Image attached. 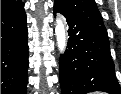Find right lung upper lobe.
I'll return each mask as SVG.
<instances>
[{
  "mask_svg": "<svg viewBox=\"0 0 121 94\" xmlns=\"http://www.w3.org/2000/svg\"><path fill=\"white\" fill-rule=\"evenodd\" d=\"M20 0H1V10L15 5Z\"/></svg>",
  "mask_w": 121,
  "mask_h": 94,
  "instance_id": "cb5924a9",
  "label": "right lung upper lobe"
}]
</instances>
